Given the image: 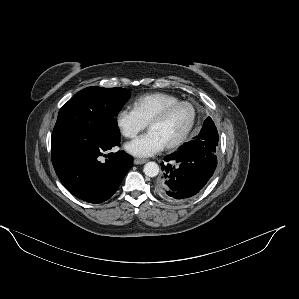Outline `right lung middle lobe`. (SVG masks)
Segmentation results:
<instances>
[{
  "instance_id": "right-lung-middle-lobe-1",
  "label": "right lung middle lobe",
  "mask_w": 299,
  "mask_h": 299,
  "mask_svg": "<svg viewBox=\"0 0 299 299\" xmlns=\"http://www.w3.org/2000/svg\"><path fill=\"white\" fill-rule=\"evenodd\" d=\"M130 93L124 88L87 87L59 111L51 141L76 135L120 140L116 116Z\"/></svg>"
}]
</instances>
